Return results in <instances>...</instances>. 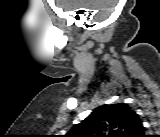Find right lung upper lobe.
Segmentation results:
<instances>
[{
    "label": "right lung upper lobe",
    "mask_w": 160,
    "mask_h": 137,
    "mask_svg": "<svg viewBox=\"0 0 160 137\" xmlns=\"http://www.w3.org/2000/svg\"><path fill=\"white\" fill-rule=\"evenodd\" d=\"M144 127L138 115L127 104L103 105L76 124L72 137H140Z\"/></svg>",
    "instance_id": "obj_1"
}]
</instances>
